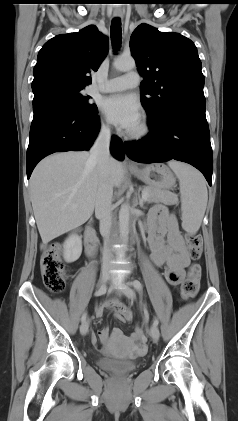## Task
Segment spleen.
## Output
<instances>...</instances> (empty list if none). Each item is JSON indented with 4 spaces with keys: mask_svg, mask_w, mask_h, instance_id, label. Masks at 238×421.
<instances>
[{
    "mask_svg": "<svg viewBox=\"0 0 238 421\" xmlns=\"http://www.w3.org/2000/svg\"><path fill=\"white\" fill-rule=\"evenodd\" d=\"M179 180L183 229L193 235L199 230L208 201L205 180L201 173L183 162H168Z\"/></svg>",
    "mask_w": 238,
    "mask_h": 421,
    "instance_id": "spleen-1",
    "label": "spleen"
}]
</instances>
